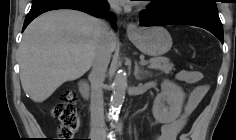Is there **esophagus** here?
<instances>
[{
	"instance_id": "1",
	"label": "esophagus",
	"mask_w": 236,
	"mask_h": 140,
	"mask_svg": "<svg viewBox=\"0 0 236 140\" xmlns=\"http://www.w3.org/2000/svg\"><path fill=\"white\" fill-rule=\"evenodd\" d=\"M138 31V27L134 23H130L127 26V33L128 34H135Z\"/></svg>"
}]
</instances>
